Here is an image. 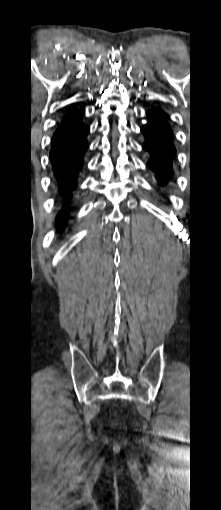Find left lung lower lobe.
I'll return each mask as SVG.
<instances>
[{
    "instance_id": "left-lung-lower-lobe-1",
    "label": "left lung lower lobe",
    "mask_w": 221,
    "mask_h": 510,
    "mask_svg": "<svg viewBox=\"0 0 221 510\" xmlns=\"http://www.w3.org/2000/svg\"><path fill=\"white\" fill-rule=\"evenodd\" d=\"M149 122L141 128L146 140L143 148L151 155L147 166L155 173L161 185L172 177V159L176 150L172 144V130L148 112Z\"/></svg>"
}]
</instances>
